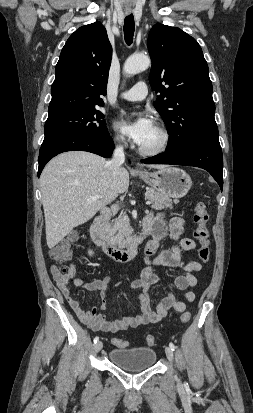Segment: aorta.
I'll list each match as a JSON object with an SVG mask.
<instances>
[{"mask_svg":"<svg viewBox=\"0 0 253 413\" xmlns=\"http://www.w3.org/2000/svg\"><path fill=\"white\" fill-rule=\"evenodd\" d=\"M150 63V58L147 55H132L124 64V74L131 76L140 73L147 69Z\"/></svg>","mask_w":253,"mask_h":413,"instance_id":"762f6f07","label":"aorta"}]
</instances>
